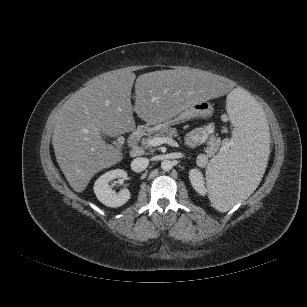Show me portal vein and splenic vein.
<instances>
[{"instance_id": "18ae733b", "label": "portal vein and splenic vein", "mask_w": 307, "mask_h": 307, "mask_svg": "<svg viewBox=\"0 0 307 307\" xmlns=\"http://www.w3.org/2000/svg\"><path fill=\"white\" fill-rule=\"evenodd\" d=\"M150 144L152 146H160L162 144H168V145L174 146L176 142L173 139L168 138V137H155L150 140Z\"/></svg>"}]
</instances>
